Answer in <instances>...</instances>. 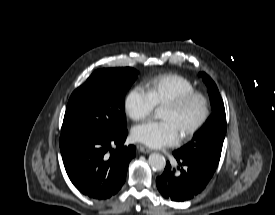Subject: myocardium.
<instances>
[{"label":"myocardium","mask_w":275,"mask_h":215,"mask_svg":"<svg viewBox=\"0 0 275 215\" xmlns=\"http://www.w3.org/2000/svg\"><path fill=\"white\" fill-rule=\"evenodd\" d=\"M194 99H200L202 101L203 112H202L200 119L192 127H190L188 130H186L182 134L183 139H189V138L193 137L207 123V121L210 117V113H211V106H210L209 98L204 93L194 90V91L182 94L179 97H177V98L167 102L165 105H163L164 107H170L175 110H181Z\"/></svg>","instance_id":"f54148a6"}]
</instances>
